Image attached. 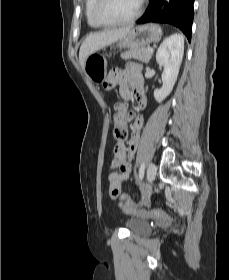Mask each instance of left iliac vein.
<instances>
[{"instance_id":"1","label":"left iliac vein","mask_w":229,"mask_h":280,"mask_svg":"<svg viewBox=\"0 0 229 280\" xmlns=\"http://www.w3.org/2000/svg\"><path fill=\"white\" fill-rule=\"evenodd\" d=\"M157 168L156 165L151 162L147 169V180L149 183H152L156 177Z\"/></svg>"}]
</instances>
